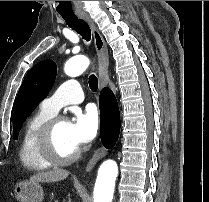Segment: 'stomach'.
Instances as JSON below:
<instances>
[{
	"instance_id": "0dacf381",
	"label": "stomach",
	"mask_w": 209,
	"mask_h": 202,
	"mask_svg": "<svg viewBox=\"0 0 209 202\" xmlns=\"http://www.w3.org/2000/svg\"><path fill=\"white\" fill-rule=\"evenodd\" d=\"M14 197L18 202H42L44 193L38 182L21 181L14 187Z\"/></svg>"
}]
</instances>
